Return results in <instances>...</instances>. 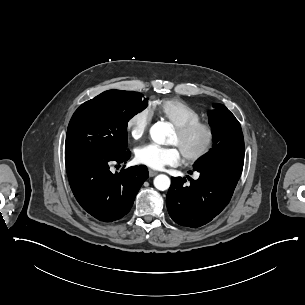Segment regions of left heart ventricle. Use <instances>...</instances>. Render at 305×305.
Segmentation results:
<instances>
[{
    "label": "left heart ventricle",
    "mask_w": 305,
    "mask_h": 305,
    "mask_svg": "<svg viewBox=\"0 0 305 305\" xmlns=\"http://www.w3.org/2000/svg\"><path fill=\"white\" fill-rule=\"evenodd\" d=\"M207 134L204 130H196L194 133L181 137L176 130H174L170 143L176 145L181 155L189 154L197 151L205 143Z\"/></svg>",
    "instance_id": "left-heart-ventricle-1"
}]
</instances>
